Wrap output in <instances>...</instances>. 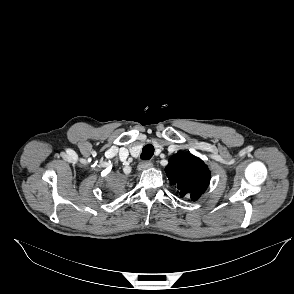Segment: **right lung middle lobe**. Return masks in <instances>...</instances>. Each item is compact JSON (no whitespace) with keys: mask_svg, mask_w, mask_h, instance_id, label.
<instances>
[{"mask_svg":"<svg viewBox=\"0 0 294 294\" xmlns=\"http://www.w3.org/2000/svg\"><path fill=\"white\" fill-rule=\"evenodd\" d=\"M105 188L111 194L112 197H115L120 192L122 184L117 178L110 177L108 181L105 183Z\"/></svg>","mask_w":294,"mask_h":294,"instance_id":"dd1d6c3e","label":"right lung middle lobe"}]
</instances>
